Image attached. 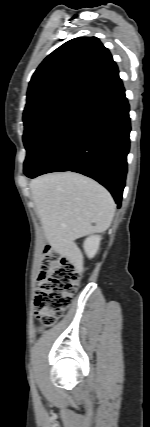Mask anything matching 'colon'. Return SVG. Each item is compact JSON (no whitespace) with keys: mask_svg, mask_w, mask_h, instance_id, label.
I'll use <instances>...</instances> for the list:
<instances>
[{"mask_svg":"<svg viewBox=\"0 0 150 427\" xmlns=\"http://www.w3.org/2000/svg\"><path fill=\"white\" fill-rule=\"evenodd\" d=\"M80 277L74 261L47 249L34 301L35 315L41 323L52 326L58 321L70 305Z\"/></svg>","mask_w":150,"mask_h":427,"instance_id":"5ec220e1","label":"colon"}]
</instances>
